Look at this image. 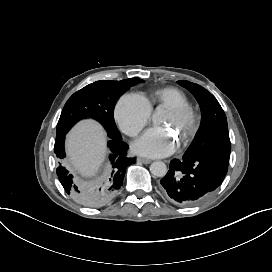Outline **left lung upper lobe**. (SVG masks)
Here are the masks:
<instances>
[{
  "instance_id": "left-lung-upper-lobe-1",
  "label": "left lung upper lobe",
  "mask_w": 272,
  "mask_h": 272,
  "mask_svg": "<svg viewBox=\"0 0 272 272\" xmlns=\"http://www.w3.org/2000/svg\"><path fill=\"white\" fill-rule=\"evenodd\" d=\"M198 101L202 112L201 126L184 156H216L229 161L231 143L226 115L216 98L202 86L180 80Z\"/></svg>"
}]
</instances>
